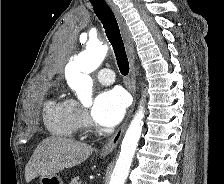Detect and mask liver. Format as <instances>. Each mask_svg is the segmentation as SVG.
<instances>
[{
  "label": "liver",
  "mask_w": 224,
  "mask_h": 184,
  "mask_svg": "<svg viewBox=\"0 0 224 184\" xmlns=\"http://www.w3.org/2000/svg\"><path fill=\"white\" fill-rule=\"evenodd\" d=\"M93 153L85 143L65 137L51 136L43 139L25 167L27 183L37 176H53L84 162Z\"/></svg>",
  "instance_id": "liver-1"
}]
</instances>
